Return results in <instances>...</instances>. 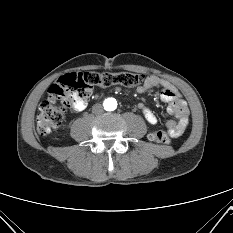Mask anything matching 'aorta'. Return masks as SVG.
<instances>
[{
  "label": "aorta",
  "mask_w": 233,
  "mask_h": 233,
  "mask_svg": "<svg viewBox=\"0 0 233 233\" xmlns=\"http://www.w3.org/2000/svg\"><path fill=\"white\" fill-rule=\"evenodd\" d=\"M117 107V101L114 98H108L104 101V108L107 111H113Z\"/></svg>",
  "instance_id": "aorta-1"
}]
</instances>
